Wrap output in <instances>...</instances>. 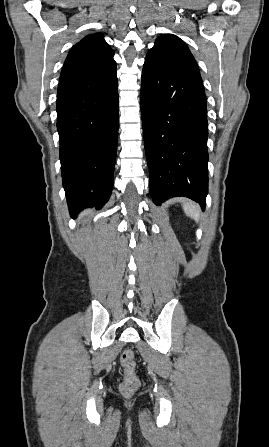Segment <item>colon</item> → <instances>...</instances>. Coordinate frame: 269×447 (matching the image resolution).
Wrapping results in <instances>:
<instances>
[{
    "label": "colon",
    "instance_id": "colon-1",
    "mask_svg": "<svg viewBox=\"0 0 269 447\" xmlns=\"http://www.w3.org/2000/svg\"><path fill=\"white\" fill-rule=\"evenodd\" d=\"M120 362L124 368V378L120 385V391L123 395H131L142 385V380L136 372L137 365L134 353L128 349L123 351L120 356Z\"/></svg>",
    "mask_w": 269,
    "mask_h": 447
}]
</instances>
